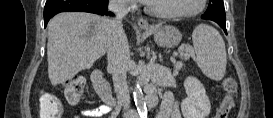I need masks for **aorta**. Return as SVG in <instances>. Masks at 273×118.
Masks as SVG:
<instances>
[{
  "label": "aorta",
  "instance_id": "762f6f07",
  "mask_svg": "<svg viewBox=\"0 0 273 118\" xmlns=\"http://www.w3.org/2000/svg\"><path fill=\"white\" fill-rule=\"evenodd\" d=\"M133 94L138 113L145 114L147 112V107L138 80L136 81V87Z\"/></svg>",
  "mask_w": 273,
  "mask_h": 118
}]
</instances>
